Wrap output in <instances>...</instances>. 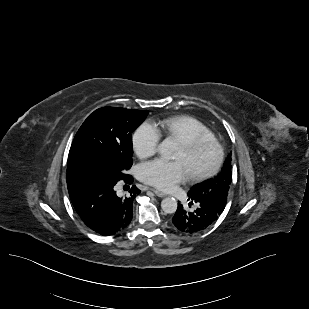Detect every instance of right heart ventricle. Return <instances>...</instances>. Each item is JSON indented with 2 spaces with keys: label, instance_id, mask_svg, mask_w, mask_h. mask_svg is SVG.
I'll use <instances>...</instances> for the list:
<instances>
[{
  "label": "right heart ventricle",
  "instance_id": "obj_1",
  "mask_svg": "<svg viewBox=\"0 0 309 309\" xmlns=\"http://www.w3.org/2000/svg\"><path fill=\"white\" fill-rule=\"evenodd\" d=\"M158 125L165 135L175 137L181 141L214 138V134L204 123L188 115L168 117L160 120Z\"/></svg>",
  "mask_w": 309,
  "mask_h": 309
}]
</instances>
